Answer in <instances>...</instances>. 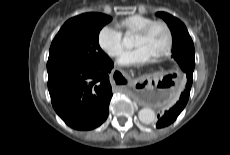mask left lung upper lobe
<instances>
[{
	"label": "left lung upper lobe",
	"mask_w": 230,
	"mask_h": 155,
	"mask_svg": "<svg viewBox=\"0 0 230 155\" xmlns=\"http://www.w3.org/2000/svg\"><path fill=\"white\" fill-rule=\"evenodd\" d=\"M156 15L164 19L172 32L173 58L177 61L186 76L190 73L193 74L195 50L186 26L179 19L168 13L157 12Z\"/></svg>",
	"instance_id": "1"
}]
</instances>
